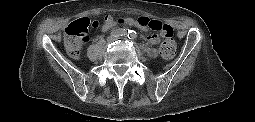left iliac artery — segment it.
Listing matches in <instances>:
<instances>
[{"mask_svg": "<svg viewBox=\"0 0 255 122\" xmlns=\"http://www.w3.org/2000/svg\"><path fill=\"white\" fill-rule=\"evenodd\" d=\"M128 38H129V39L135 38V32L131 31V32L129 33V35H128Z\"/></svg>", "mask_w": 255, "mask_h": 122, "instance_id": "1", "label": "left iliac artery"}]
</instances>
